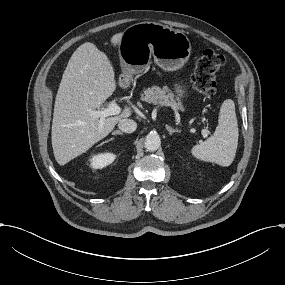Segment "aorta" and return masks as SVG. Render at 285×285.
I'll list each match as a JSON object with an SVG mask.
<instances>
[{"label": "aorta", "instance_id": "obj_1", "mask_svg": "<svg viewBox=\"0 0 285 285\" xmlns=\"http://www.w3.org/2000/svg\"><path fill=\"white\" fill-rule=\"evenodd\" d=\"M161 145V139L157 133H149L145 139V148L147 151H156Z\"/></svg>", "mask_w": 285, "mask_h": 285}]
</instances>
